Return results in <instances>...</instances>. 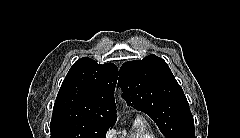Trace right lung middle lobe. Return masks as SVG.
<instances>
[{
  "instance_id": "right-lung-middle-lobe-1",
  "label": "right lung middle lobe",
  "mask_w": 240,
  "mask_h": 138,
  "mask_svg": "<svg viewBox=\"0 0 240 138\" xmlns=\"http://www.w3.org/2000/svg\"><path fill=\"white\" fill-rule=\"evenodd\" d=\"M113 125L74 117L52 118L51 138H105Z\"/></svg>"
}]
</instances>
